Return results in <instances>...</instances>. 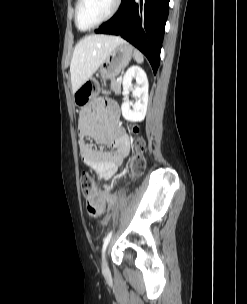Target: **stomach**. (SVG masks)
Segmentation results:
<instances>
[{"instance_id":"0dacf381","label":"stomach","mask_w":247,"mask_h":304,"mask_svg":"<svg viewBox=\"0 0 247 304\" xmlns=\"http://www.w3.org/2000/svg\"><path fill=\"white\" fill-rule=\"evenodd\" d=\"M133 57V47L128 43L118 45L101 64L97 76L101 80L114 79L129 64ZM98 83L86 81L74 92V102L80 108H84L98 95Z\"/></svg>"}]
</instances>
